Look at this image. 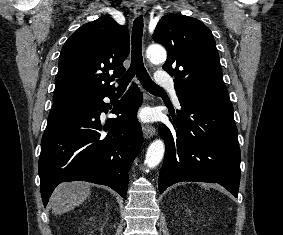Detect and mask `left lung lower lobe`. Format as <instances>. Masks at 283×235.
Masks as SVG:
<instances>
[{
    "label": "left lung lower lobe",
    "mask_w": 283,
    "mask_h": 235,
    "mask_svg": "<svg viewBox=\"0 0 283 235\" xmlns=\"http://www.w3.org/2000/svg\"><path fill=\"white\" fill-rule=\"evenodd\" d=\"M178 99L177 117L170 112L174 129L159 126L166 145L160 193L177 182L200 181L219 183L238 197L241 157L232 103Z\"/></svg>",
    "instance_id": "left-lung-lower-lobe-1"
}]
</instances>
